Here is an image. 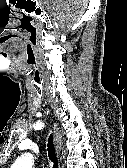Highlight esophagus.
Here are the masks:
<instances>
[{
    "mask_svg": "<svg viewBox=\"0 0 127 168\" xmlns=\"http://www.w3.org/2000/svg\"><path fill=\"white\" fill-rule=\"evenodd\" d=\"M54 140H55L56 150L59 153L61 150L62 135L56 124H54Z\"/></svg>",
    "mask_w": 127,
    "mask_h": 168,
    "instance_id": "esophagus-1",
    "label": "esophagus"
}]
</instances>
